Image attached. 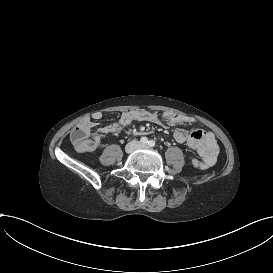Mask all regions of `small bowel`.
<instances>
[{
	"label": "small bowel",
	"instance_id": "1",
	"mask_svg": "<svg viewBox=\"0 0 273 273\" xmlns=\"http://www.w3.org/2000/svg\"><path fill=\"white\" fill-rule=\"evenodd\" d=\"M102 117V112L96 111L90 117H86L85 120L93 122L96 127L97 121ZM142 121L158 123L168 127L182 126L174 130L175 139L180 143H186L201 156V167L203 169H208L216 163L219 147L214 133L197 127H186L191 125L192 119L186 115L173 112L166 111L160 115L157 112L144 109L125 111L117 121L99 128L98 131L91 136L96 137L98 143H100L104 135H119L132 123Z\"/></svg>",
	"mask_w": 273,
	"mask_h": 273
}]
</instances>
